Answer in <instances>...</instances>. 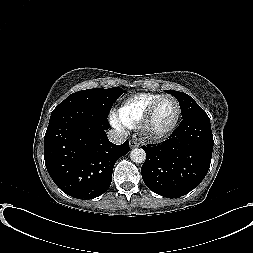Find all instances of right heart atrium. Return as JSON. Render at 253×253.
I'll use <instances>...</instances> for the list:
<instances>
[{"instance_id": "obj_1", "label": "right heart atrium", "mask_w": 253, "mask_h": 253, "mask_svg": "<svg viewBox=\"0 0 253 253\" xmlns=\"http://www.w3.org/2000/svg\"><path fill=\"white\" fill-rule=\"evenodd\" d=\"M110 119H111V122L113 123V125L122 129V126L119 124L118 120L116 119V117L114 115H111Z\"/></svg>"}]
</instances>
